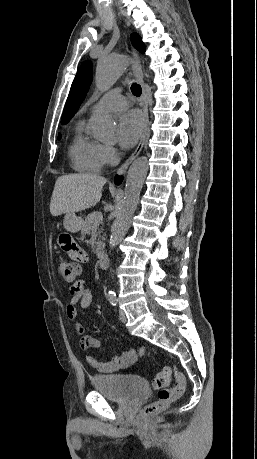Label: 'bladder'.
<instances>
[{"label": "bladder", "instance_id": "obj_1", "mask_svg": "<svg viewBox=\"0 0 257 459\" xmlns=\"http://www.w3.org/2000/svg\"><path fill=\"white\" fill-rule=\"evenodd\" d=\"M92 385L107 399L122 404L138 401L150 394L145 380L125 373L93 376Z\"/></svg>", "mask_w": 257, "mask_h": 459}]
</instances>
